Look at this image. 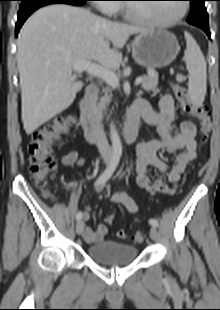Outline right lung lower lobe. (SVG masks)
I'll return each instance as SVG.
<instances>
[{"instance_id":"1","label":"right lung lower lobe","mask_w":220,"mask_h":310,"mask_svg":"<svg viewBox=\"0 0 220 310\" xmlns=\"http://www.w3.org/2000/svg\"><path fill=\"white\" fill-rule=\"evenodd\" d=\"M21 5L18 12V20L16 23L15 35L25 22V20L38 8L54 3H64L75 6L83 5L87 0H21Z\"/></svg>"}]
</instances>
